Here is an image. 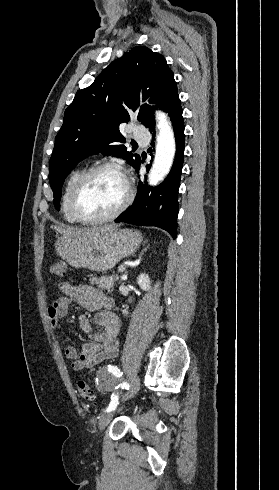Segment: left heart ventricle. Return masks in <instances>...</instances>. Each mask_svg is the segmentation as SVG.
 Returning a JSON list of instances; mask_svg holds the SVG:
<instances>
[{
	"mask_svg": "<svg viewBox=\"0 0 279 490\" xmlns=\"http://www.w3.org/2000/svg\"><path fill=\"white\" fill-rule=\"evenodd\" d=\"M126 190L122 177L111 171L93 176L86 185L81 198L83 216L100 217L114 211L124 200Z\"/></svg>",
	"mask_w": 279,
	"mask_h": 490,
	"instance_id": "b2bd125f",
	"label": "left heart ventricle"
}]
</instances>
